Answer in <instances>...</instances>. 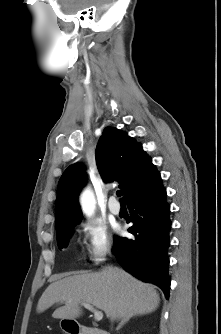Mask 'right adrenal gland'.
<instances>
[{"label":"right adrenal gland","mask_w":221,"mask_h":334,"mask_svg":"<svg viewBox=\"0 0 221 334\" xmlns=\"http://www.w3.org/2000/svg\"><path fill=\"white\" fill-rule=\"evenodd\" d=\"M129 319H130L129 317L123 319L121 323L118 325L117 330L120 329L127 321H129Z\"/></svg>","instance_id":"obj_1"}]
</instances>
